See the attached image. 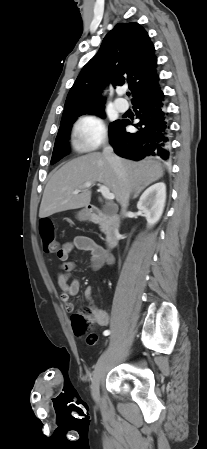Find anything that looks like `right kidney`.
Instances as JSON below:
<instances>
[{"mask_svg": "<svg viewBox=\"0 0 207 449\" xmlns=\"http://www.w3.org/2000/svg\"><path fill=\"white\" fill-rule=\"evenodd\" d=\"M166 202V185L163 182L150 186L141 195L137 208L146 217L148 227L155 225L162 216Z\"/></svg>", "mask_w": 207, "mask_h": 449, "instance_id": "ca27d5eb", "label": "right kidney"}]
</instances>
